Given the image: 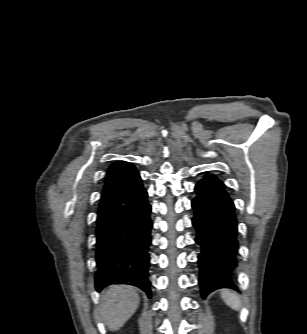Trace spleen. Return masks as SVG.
Wrapping results in <instances>:
<instances>
[{
    "label": "spleen",
    "mask_w": 307,
    "mask_h": 334,
    "mask_svg": "<svg viewBox=\"0 0 307 334\" xmlns=\"http://www.w3.org/2000/svg\"><path fill=\"white\" fill-rule=\"evenodd\" d=\"M221 297L224 302L232 309L238 310L241 307V302L239 296L229 290H223L221 292Z\"/></svg>",
    "instance_id": "1"
}]
</instances>
